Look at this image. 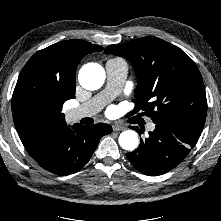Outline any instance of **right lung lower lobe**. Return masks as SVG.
I'll list each match as a JSON object with an SVG mask.
<instances>
[{
  "label": "right lung lower lobe",
  "mask_w": 221,
  "mask_h": 221,
  "mask_svg": "<svg viewBox=\"0 0 221 221\" xmlns=\"http://www.w3.org/2000/svg\"><path fill=\"white\" fill-rule=\"evenodd\" d=\"M112 132L108 124H76L52 134H43L28 146L30 155L40 166L64 176L79 171L91 158L100 139Z\"/></svg>",
  "instance_id": "right-lung-lower-lobe-1"
}]
</instances>
